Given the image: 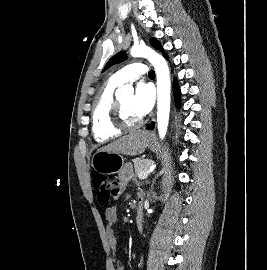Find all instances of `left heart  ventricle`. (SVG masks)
Returning <instances> with one entry per match:
<instances>
[{"label": "left heart ventricle", "instance_id": "left-heart-ventricle-1", "mask_svg": "<svg viewBox=\"0 0 267 270\" xmlns=\"http://www.w3.org/2000/svg\"><path fill=\"white\" fill-rule=\"evenodd\" d=\"M120 104L128 121L136 122L141 119V117H139L133 110V96L122 98L120 100Z\"/></svg>", "mask_w": 267, "mask_h": 270}]
</instances>
